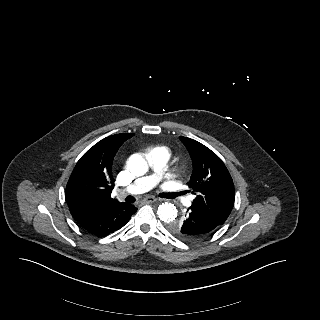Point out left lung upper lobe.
I'll list each match as a JSON object with an SVG mask.
<instances>
[{
	"instance_id": "1",
	"label": "left lung upper lobe",
	"mask_w": 320,
	"mask_h": 320,
	"mask_svg": "<svg viewBox=\"0 0 320 320\" xmlns=\"http://www.w3.org/2000/svg\"><path fill=\"white\" fill-rule=\"evenodd\" d=\"M188 149L194 169L188 182L192 194L196 195L191 208L204 213L222 225L230 215L234 200V184L223 161L203 144L180 137ZM170 231L181 240H196L182 231V222L169 224Z\"/></svg>"
}]
</instances>
